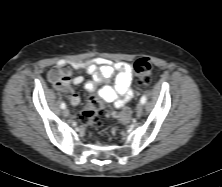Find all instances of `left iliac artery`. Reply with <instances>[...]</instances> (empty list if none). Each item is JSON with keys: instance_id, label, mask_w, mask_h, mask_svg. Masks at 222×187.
I'll return each instance as SVG.
<instances>
[{"instance_id": "left-iliac-artery-1", "label": "left iliac artery", "mask_w": 222, "mask_h": 187, "mask_svg": "<svg viewBox=\"0 0 222 187\" xmlns=\"http://www.w3.org/2000/svg\"><path fill=\"white\" fill-rule=\"evenodd\" d=\"M146 100H147L146 96L143 95V96L141 97V99H140V102H141L142 104H144V103L146 102Z\"/></svg>"}]
</instances>
